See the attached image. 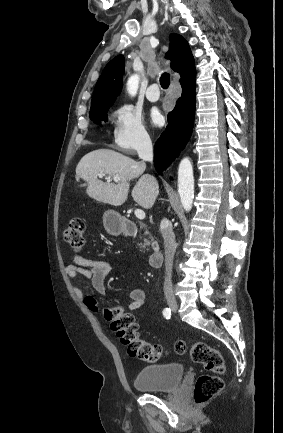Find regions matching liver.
I'll use <instances>...</instances> for the list:
<instances>
[{"label":"liver","mask_w":283,"mask_h":433,"mask_svg":"<svg viewBox=\"0 0 283 433\" xmlns=\"http://www.w3.org/2000/svg\"><path fill=\"white\" fill-rule=\"evenodd\" d=\"M146 162L133 160L121 152L109 150V148H98L88 154H84L76 166V178L88 182L87 194L95 198L98 202H108V204H123L128 198L130 180L138 178L132 188V196L143 208H151L158 194L157 184L152 180L150 174H143ZM99 172L107 176H120L117 182H103L97 178Z\"/></svg>","instance_id":"6515ba94"}]
</instances>
